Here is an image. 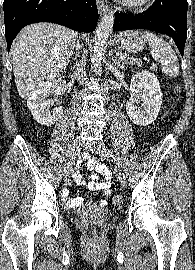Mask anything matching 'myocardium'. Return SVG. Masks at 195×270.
Instances as JSON below:
<instances>
[{"mask_svg": "<svg viewBox=\"0 0 195 270\" xmlns=\"http://www.w3.org/2000/svg\"><path fill=\"white\" fill-rule=\"evenodd\" d=\"M123 6L131 9H143L147 7L152 0H118Z\"/></svg>", "mask_w": 195, "mask_h": 270, "instance_id": "1", "label": "myocardium"}]
</instances>
